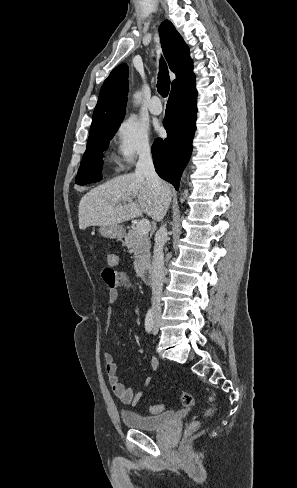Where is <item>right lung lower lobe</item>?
Listing matches in <instances>:
<instances>
[{
    "label": "right lung lower lobe",
    "mask_w": 297,
    "mask_h": 488,
    "mask_svg": "<svg viewBox=\"0 0 297 488\" xmlns=\"http://www.w3.org/2000/svg\"><path fill=\"white\" fill-rule=\"evenodd\" d=\"M195 77L175 85L169 96L164 118L166 139H157L152 145L155 170L176 190L191 152L196 130Z\"/></svg>",
    "instance_id": "1"
}]
</instances>
